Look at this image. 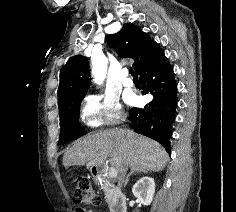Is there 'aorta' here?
I'll list each match as a JSON object with an SVG mask.
<instances>
[{"mask_svg": "<svg viewBox=\"0 0 236 212\" xmlns=\"http://www.w3.org/2000/svg\"><path fill=\"white\" fill-rule=\"evenodd\" d=\"M92 61V75L94 77V81L97 84H101L107 73V59L103 54L91 56Z\"/></svg>", "mask_w": 236, "mask_h": 212, "instance_id": "aorta-1", "label": "aorta"}]
</instances>
